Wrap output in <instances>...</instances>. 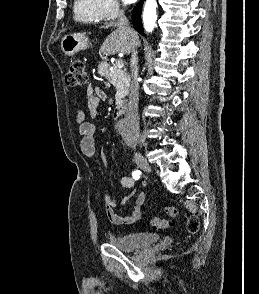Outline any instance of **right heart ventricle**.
<instances>
[{
	"label": "right heart ventricle",
	"mask_w": 259,
	"mask_h": 294,
	"mask_svg": "<svg viewBox=\"0 0 259 294\" xmlns=\"http://www.w3.org/2000/svg\"><path fill=\"white\" fill-rule=\"evenodd\" d=\"M74 17L84 23H98L104 19L98 0H74Z\"/></svg>",
	"instance_id": "right-heart-ventricle-1"
}]
</instances>
